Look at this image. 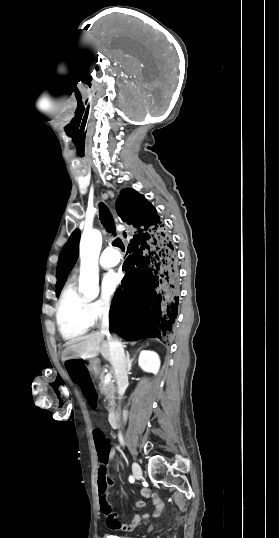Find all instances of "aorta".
Returning <instances> with one entry per match:
<instances>
[{"label":"aorta","instance_id":"aorta-1","mask_svg":"<svg viewBox=\"0 0 279 538\" xmlns=\"http://www.w3.org/2000/svg\"><path fill=\"white\" fill-rule=\"evenodd\" d=\"M102 245V235L98 230L84 231L80 239V281L79 291L89 299L99 294L98 258Z\"/></svg>","mask_w":279,"mask_h":538}]
</instances>
